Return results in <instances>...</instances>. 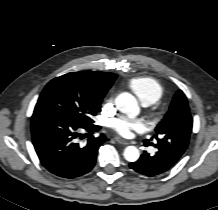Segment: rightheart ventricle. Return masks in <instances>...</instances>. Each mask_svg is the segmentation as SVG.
Instances as JSON below:
<instances>
[{
    "instance_id": "e07e8e85",
    "label": "right heart ventricle",
    "mask_w": 218,
    "mask_h": 210,
    "mask_svg": "<svg viewBox=\"0 0 218 210\" xmlns=\"http://www.w3.org/2000/svg\"><path fill=\"white\" fill-rule=\"evenodd\" d=\"M128 87L145 106L155 104L163 95L161 84L152 77L132 78L128 82Z\"/></svg>"
}]
</instances>
